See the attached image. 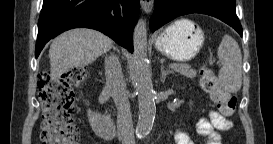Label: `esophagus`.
<instances>
[{
	"mask_svg": "<svg viewBox=\"0 0 273 144\" xmlns=\"http://www.w3.org/2000/svg\"><path fill=\"white\" fill-rule=\"evenodd\" d=\"M154 0H140L141 8L144 12L150 13L153 8Z\"/></svg>",
	"mask_w": 273,
	"mask_h": 144,
	"instance_id": "obj_1",
	"label": "esophagus"
}]
</instances>
